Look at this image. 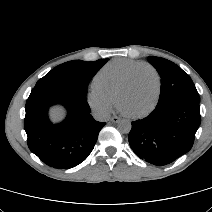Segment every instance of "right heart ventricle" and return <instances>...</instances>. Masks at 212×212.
<instances>
[{"instance_id": "e07e8e85", "label": "right heart ventricle", "mask_w": 212, "mask_h": 212, "mask_svg": "<svg viewBox=\"0 0 212 212\" xmlns=\"http://www.w3.org/2000/svg\"><path fill=\"white\" fill-rule=\"evenodd\" d=\"M140 64L142 63L129 59H115L98 72L95 84L99 89L115 98L129 72Z\"/></svg>"}]
</instances>
